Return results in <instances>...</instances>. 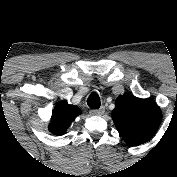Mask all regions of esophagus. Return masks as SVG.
<instances>
[{
  "instance_id": "34e87169",
  "label": "esophagus",
  "mask_w": 177,
  "mask_h": 177,
  "mask_svg": "<svg viewBox=\"0 0 177 177\" xmlns=\"http://www.w3.org/2000/svg\"><path fill=\"white\" fill-rule=\"evenodd\" d=\"M104 112H105V108L101 107L99 109H93V110H91L90 114L94 115V116H101Z\"/></svg>"
}]
</instances>
